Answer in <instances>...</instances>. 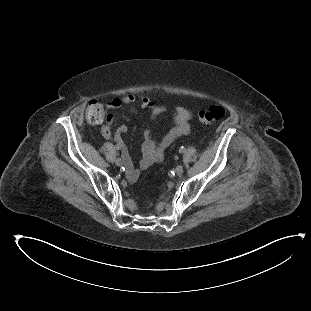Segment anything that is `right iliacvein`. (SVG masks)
<instances>
[{"label": "right iliac vein", "instance_id": "63e3f726", "mask_svg": "<svg viewBox=\"0 0 311 311\" xmlns=\"http://www.w3.org/2000/svg\"><path fill=\"white\" fill-rule=\"evenodd\" d=\"M115 164H116L117 166H121V165H122V160H121L120 158H117V159L115 160Z\"/></svg>", "mask_w": 311, "mask_h": 311}]
</instances>
